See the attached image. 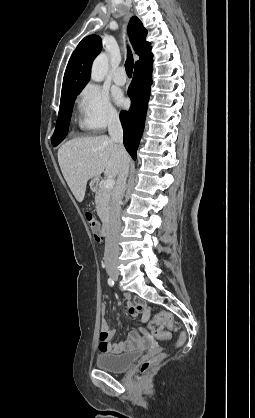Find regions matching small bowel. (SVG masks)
<instances>
[{
	"mask_svg": "<svg viewBox=\"0 0 255 418\" xmlns=\"http://www.w3.org/2000/svg\"><path fill=\"white\" fill-rule=\"evenodd\" d=\"M128 312L131 317H136L140 313L142 314V321L146 322L150 318V313L146 304L140 299H133L127 303ZM106 307H102V322L100 332L99 350L105 353H122L127 350L133 349L141 345L146 336V331L141 329L139 332H132L129 334L125 341L112 343L116 332L109 329L108 322L106 320Z\"/></svg>",
	"mask_w": 255,
	"mask_h": 418,
	"instance_id": "1",
	"label": "small bowel"
}]
</instances>
